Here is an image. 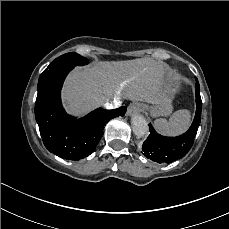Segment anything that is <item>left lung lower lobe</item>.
I'll return each mask as SVG.
<instances>
[{
  "label": "left lung lower lobe",
  "mask_w": 229,
  "mask_h": 229,
  "mask_svg": "<svg viewBox=\"0 0 229 229\" xmlns=\"http://www.w3.org/2000/svg\"><path fill=\"white\" fill-rule=\"evenodd\" d=\"M196 79V114L194 121L187 132L177 137L162 136L149 125L150 135L143 143L142 151L147 158L158 163H171L183 158L193 145L198 127L201 121L202 101L200 97V87Z\"/></svg>",
  "instance_id": "obj_1"
}]
</instances>
